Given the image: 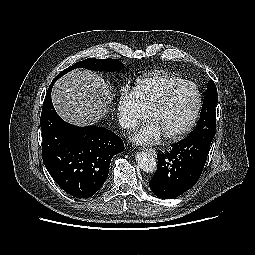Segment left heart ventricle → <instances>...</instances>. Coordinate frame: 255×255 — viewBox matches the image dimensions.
Wrapping results in <instances>:
<instances>
[{
  "label": "left heart ventricle",
  "instance_id": "b2bd125f",
  "mask_svg": "<svg viewBox=\"0 0 255 255\" xmlns=\"http://www.w3.org/2000/svg\"><path fill=\"white\" fill-rule=\"evenodd\" d=\"M196 103V89L193 86H187L179 91L151 120L158 125L163 135L175 133L190 121Z\"/></svg>",
  "mask_w": 255,
  "mask_h": 255
}]
</instances>
